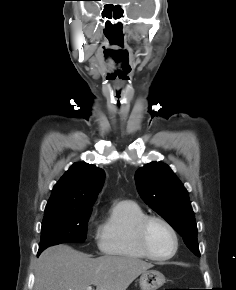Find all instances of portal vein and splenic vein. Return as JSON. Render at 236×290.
Masks as SVG:
<instances>
[{
    "instance_id": "portal-vein-and-splenic-vein-1",
    "label": "portal vein and splenic vein",
    "mask_w": 236,
    "mask_h": 290,
    "mask_svg": "<svg viewBox=\"0 0 236 290\" xmlns=\"http://www.w3.org/2000/svg\"><path fill=\"white\" fill-rule=\"evenodd\" d=\"M86 290H92V287L91 286H89V287H87V289Z\"/></svg>"
}]
</instances>
